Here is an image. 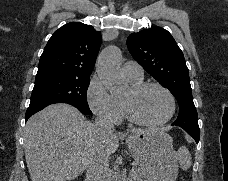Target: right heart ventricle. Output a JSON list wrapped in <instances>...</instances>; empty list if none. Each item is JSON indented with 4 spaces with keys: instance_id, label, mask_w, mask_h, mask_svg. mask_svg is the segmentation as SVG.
I'll use <instances>...</instances> for the list:
<instances>
[{
    "instance_id": "right-heart-ventricle-1",
    "label": "right heart ventricle",
    "mask_w": 228,
    "mask_h": 181,
    "mask_svg": "<svg viewBox=\"0 0 228 181\" xmlns=\"http://www.w3.org/2000/svg\"><path fill=\"white\" fill-rule=\"evenodd\" d=\"M126 78L129 80V82L131 83V85H134V84H137V83H140L142 82V76L140 78H129L126 76ZM120 103H121V106H122V110H123V113H126V105H125V102L123 99H120Z\"/></svg>"
}]
</instances>
